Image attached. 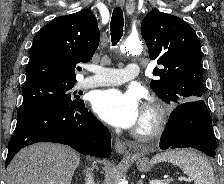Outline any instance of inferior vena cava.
<instances>
[{"label":"inferior vena cava","instance_id":"1","mask_svg":"<svg viewBox=\"0 0 224 184\" xmlns=\"http://www.w3.org/2000/svg\"><path fill=\"white\" fill-rule=\"evenodd\" d=\"M86 176H87V178H86V184H95L94 183V180H93V177H92V174L91 173H88V170H87Z\"/></svg>","mask_w":224,"mask_h":184}]
</instances>
